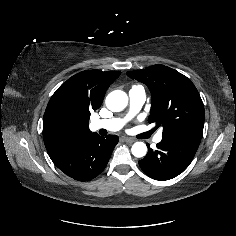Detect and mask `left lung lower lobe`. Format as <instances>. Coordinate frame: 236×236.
Here are the masks:
<instances>
[{
	"instance_id": "0a47b994",
	"label": "left lung lower lobe",
	"mask_w": 236,
	"mask_h": 236,
	"mask_svg": "<svg viewBox=\"0 0 236 236\" xmlns=\"http://www.w3.org/2000/svg\"><path fill=\"white\" fill-rule=\"evenodd\" d=\"M196 136L162 138L157 150L148 145L147 155L139 161L141 169L149 177L164 181L182 173L191 163L200 144Z\"/></svg>"
}]
</instances>
